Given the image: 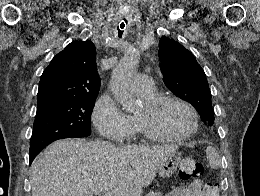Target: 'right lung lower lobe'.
<instances>
[{"label": "right lung lower lobe", "instance_id": "98d812e1", "mask_svg": "<svg viewBox=\"0 0 260 196\" xmlns=\"http://www.w3.org/2000/svg\"><path fill=\"white\" fill-rule=\"evenodd\" d=\"M41 150H35L30 152V163L33 161V159L36 157V155L40 152Z\"/></svg>", "mask_w": 260, "mask_h": 196}]
</instances>
